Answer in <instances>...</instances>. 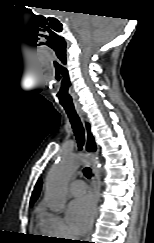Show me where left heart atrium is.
Instances as JSON below:
<instances>
[{
	"label": "left heart atrium",
	"mask_w": 154,
	"mask_h": 243,
	"mask_svg": "<svg viewBox=\"0 0 154 243\" xmlns=\"http://www.w3.org/2000/svg\"><path fill=\"white\" fill-rule=\"evenodd\" d=\"M95 205L90 196H82L72 201L68 207V220L77 234L85 233L91 226Z\"/></svg>",
	"instance_id": "obj_1"
}]
</instances>
